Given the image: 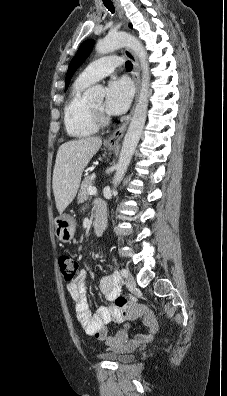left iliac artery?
Returning <instances> with one entry per match:
<instances>
[{"label":"left iliac artery","instance_id":"obj_1","mask_svg":"<svg viewBox=\"0 0 227 396\" xmlns=\"http://www.w3.org/2000/svg\"><path fill=\"white\" fill-rule=\"evenodd\" d=\"M120 274H121L122 277H127V275H128V270H126V269H121V270H120Z\"/></svg>","mask_w":227,"mask_h":396}]
</instances>
